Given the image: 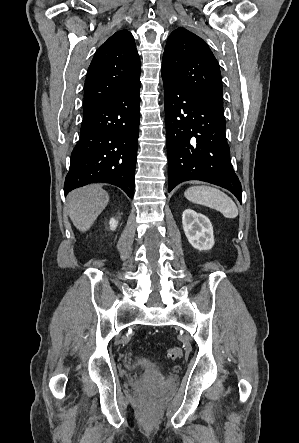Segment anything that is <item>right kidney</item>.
Here are the masks:
<instances>
[{
    "instance_id": "1",
    "label": "right kidney",
    "mask_w": 299,
    "mask_h": 443,
    "mask_svg": "<svg viewBox=\"0 0 299 443\" xmlns=\"http://www.w3.org/2000/svg\"><path fill=\"white\" fill-rule=\"evenodd\" d=\"M109 224H110V229L115 230L118 225V221L115 220L114 218H111Z\"/></svg>"
}]
</instances>
